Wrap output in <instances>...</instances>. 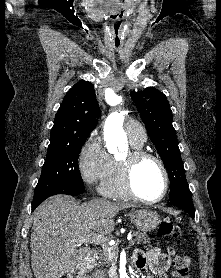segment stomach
<instances>
[{
	"label": "stomach",
	"instance_id": "stomach-1",
	"mask_svg": "<svg viewBox=\"0 0 221 278\" xmlns=\"http://www.w3.org/2000/svg\"><path fill=\"white\" fill-rule=\"evenodd\" d=\"M130 218L137 229L144 232L156 229L161 222L158 213L150 209L132 210Z\"/></svg>",
	"mask_w": 221,
	"mask_h": 278
}]
</instances>
